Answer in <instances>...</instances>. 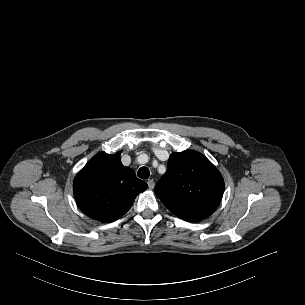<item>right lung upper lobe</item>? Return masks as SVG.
<instances>
[{
	"instance_id": "obj_1",
	"label": "right lung upper lobe",
	"mask_w": 305,
	"mask_h": 305,
	"mask_svg": "<svg viewBox=\"0 0 305 305\" xmlns=\"http://www.w3.org/2000/svg\"><path fill=\"white\" fill-rule=\"evenodd\" d=\"M147 187L132 169L122 165L120 153L101 152L77 174L73 192L85 215L110 223L123 216Z\"/></svg>"
}]
</instances>
